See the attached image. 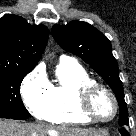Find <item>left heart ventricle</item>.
Instances as JSON below:
<instances>
[{"label":"left heart ventricle","mask_w":136,"mask_h":136,"mask_svg":"<svg viewBox=\"0 0 136 136\" xmlns=\"http://www.w3.org/2000/svg\"><path fill=\"white\" fill-rule=\"evenodd\" d=\"M94 113L103 119L109 118L113 114V103L111 98L104 91H98L92 100Z\"/></svg>","instance_id":"b2bd125f"}]
</instances>
